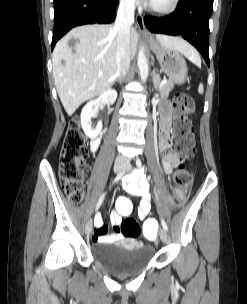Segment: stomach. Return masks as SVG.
<instances>
[{
	"label": "stomach",
	"mask_w": 247,
	"mask_h": 304,
	"mask_svg": "<svg viewBox=\"0 0 247 304\" xmlns=\"http://www.w3.org/2000/svg\"><path fill=\"white\" fill-rule=\"evenodd\" d=\"M151 48L170 80L177 84L184 83L188 74V68L180 52L164 48L155 41H151Z\"/></svg>",
	"instance_id": "1"
}]
</instances>
